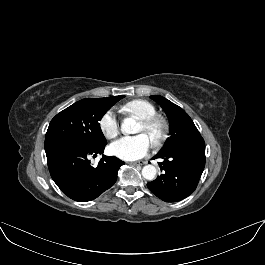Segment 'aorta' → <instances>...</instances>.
<instances>
[{
	"label": "aorta",
	"instance_id": "1",
	"mask_svg": "<svg viewBox=\"0 0 265 265\" xmlns=\"http://www.w3.org/2000/svg\"><path fill=\"white\" fill-rule=\"evenodd\" d=\"M121 130L125 134H136L140 131V124L133 118H125L121 124ZM157 169L153 165H146L142 169V176L147 180H153Z\"/></svg>",
	"mask_w": 265,
	"mask_h": 265
}]
</instances>
